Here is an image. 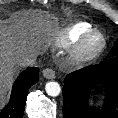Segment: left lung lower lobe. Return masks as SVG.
<instances>
[{"instance_id":"0a47b994","label":"left lung lower lobe","mask_w":118,"mask_h":118,"mask_svg":"<svg viewBox=\"0 0 118 118\" xmlns=\"http://www.w3.org/2000/svg\"><path fill=\"white\" fill-rule=\"evenodd\" d=\"M106 88L101 109L90 108L88 98L98 85ZM64 118H118V56L68 74L63 86Z\"/></svg>"}]
</instances>
